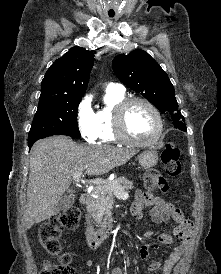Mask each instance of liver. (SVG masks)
Here are the masks:
<instances>
[{"label":"liver","mask_w":221,"mask_h":274,"mask_svg":"<svg viewBox=\"0 0 221 274\" xmlns=\"http://www.w3.org/2000/svg\"><path fill=\"white\" fill-rule=\"evenodd\" d=\"M138 151L112 146H82L65 136L38 141L30 156L25 223H35L59 213L56 204L69 189L73 175H103L127 163Z\"/></svg>","instance_id":"6515ba94"}]
</instances>
